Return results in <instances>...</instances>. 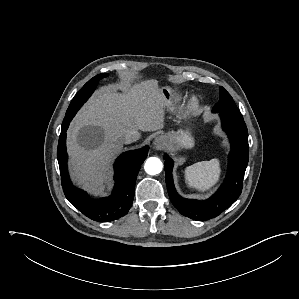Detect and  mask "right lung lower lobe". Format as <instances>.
I'll use <instances>...</instances> for the list:
<instances>
[{"label":"right lung lower lobe","instance_id":"98d812e1","mask_svg":"<svg viewBox=\"0 0 299 299\" xmlns=\"http://www.w3.org/2000/svg\"><path fill=\"white\" fill-rule=\"evenodd\" d=\"M69 119L63 122L58 143L57 156L61 181L66 198L80 212L94 221L109 222L126 215L132 205L135 182L140 167L147 157L149 147L121 154L115 163V186L107 198L92 199L86 192L76 188L70 181L67 171L66 130Z\"/></svg>","mask_w":299,"mask_h":299}]
</instances>
